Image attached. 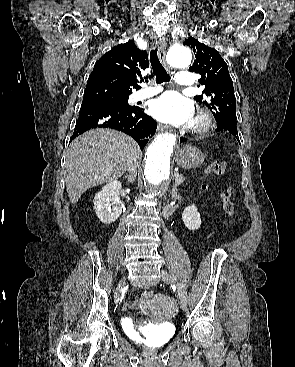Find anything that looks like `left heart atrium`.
<instances>
[{"label":"left heart atrium","mask_w":295,"mask_h":367,"mask_svg":"<svg viewBox=\"0 0 295 367\" xmlns=\"http://www.w3.org/2000/svg\"><path fill=\"white\" fill-rule=\"evenodd\" d=\"M192 103L178 92L169 91L151 101L150 114L157 120L181 126L189 124L193 118Z\"/></svg>","instance_id":"obj_1"}]
</instances>
